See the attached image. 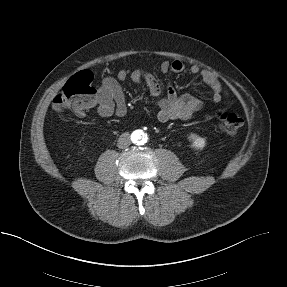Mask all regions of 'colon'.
<instances>
[{"label":"colon","mask_w":287,"mask_h":287,"mask_svg":"<svg viewBox=\"0 0 287 287\" xmlns=\"http://www.w3.org/2000/svg\"><path fill=\"white\" fill-rule=\"evenodd\" d=\"M97 89L93 84V75L84 70L73 75L53 100V109L62 112L68 109L76 113L94 105ZM218 128L227 133L235 134L243 125L242 118L232 112L219 110L215 113Z\"/></svg>","instance_id":"obj_1"}]
</instances>
